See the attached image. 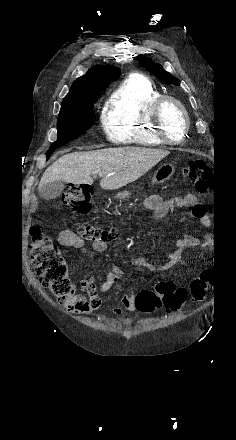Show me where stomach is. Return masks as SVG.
<instances>
[{
  "label": "stomach",
  "instance_id": "stomach-1",
  "mask_svg": "<svg viewBox=\"0 0 236 440\" xmlns=\"http://www.w3.org/2000/svg\"><path fill=\"white\" fill-rule=\"evenodd\" d=\"M175 172V166L172 163H165L161 165L152 177L153 184L163 183L168 180ZM129 196V193L123 192L116 195V198L124 199Z\"/></svg>",
  "mask_w": 236,
  "mask_h": 440
}]
</instances>
